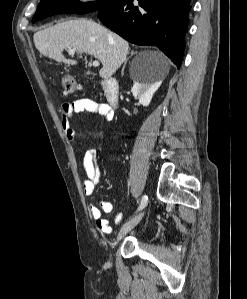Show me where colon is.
I'll return each mask as SVG.
<instances>
[{
	"mask_svg": "<svg viewBox=\"0 0 247 299\" xmlns=\"http://www.w3.org/2000/svg\"><path fill=\"white\" fill-rule=\"evenodd\" d=\"M62 89L65 94H72L79 90L75 79L70 74H63L61 77Z\"/></svg>",
	"mask_w": 247,
	"mask_h": 299,
	"instance_id": "colon-1",
	"label": "colon"
}]
</instances>
